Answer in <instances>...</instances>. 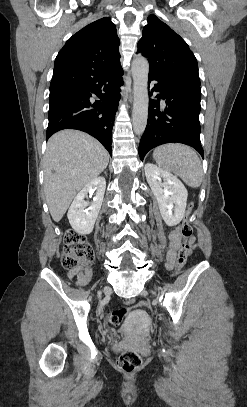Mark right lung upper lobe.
<instances>
[{
	"mask_svg": "<svg viewBox=\"0 0 247 407\" xmlns=\"http://www.w3.org/2000/svg\"><path fill=\"white\" fill-rule=\"evenodd\" d=\"M119 44L110 17L85 26L59 51L50 90L81 88L96 74L120 66Z\"/></svg>",
	"mask_w": 247,
	"mask_h": 407,
	"instance_id": "obj_1",
	"label": "right lung upper lobe"
}]
</instances>
